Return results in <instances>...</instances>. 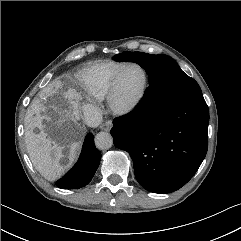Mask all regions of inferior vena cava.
Returning <instances> with one entry per match:
<instances>
[{"instance_id": "602c4592", "label": "inferior vena cava", "mask_w": 241, "mask_h": 241, "mask_svg": "<svg viewBox=\"0 0 241 241\" xmlns=\"http://www.w3.org/2000/svg\"><path fill=\"white\" fill-rule=\"evenodd\" d=\"M83 114H84V121L89 126L97 125L102 119V116H101L100 112L98 111V109L92 105L84 106Z\"/></svg>"}]
</instances>
